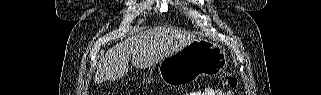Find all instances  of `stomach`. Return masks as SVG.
I'll list each match as a JSON object with an SVG mask.
<instances>
[{"mask_svg":"<svg viewBox=\"0 0 321 95\" xmlns=\"http://www.w3.org/2000/svg\"><path fill=\"white\" fill-rule=\"evenodd\" d=\"M227 67L226 52L217 43L197 39L159 64L163 82L179 85L204 75H216Z\"/></svg>","mask_w":321,"mask_h":95,"instance_id":"0dacf381","label":"stomach"}]
</instances>
